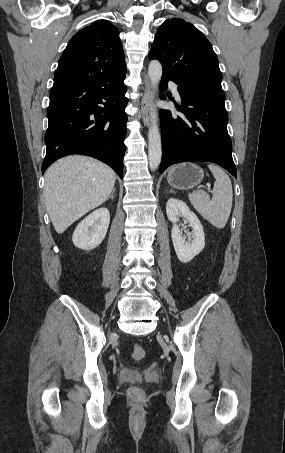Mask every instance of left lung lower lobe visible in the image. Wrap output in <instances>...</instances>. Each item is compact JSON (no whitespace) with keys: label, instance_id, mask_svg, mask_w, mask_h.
Returning <instances> with one entry per match:
<instances>
[{"label":"left lung lower lobe","instance_id":"0a47b994","mask_svg":"<svg viewBox=\"0 0 285 453\" xmlns=\"http://www.w3.org/2000/svg\"><path fill=\"white\" fill-rule=\"evenodd\" d=\"M169 80L178 84L182 102L178 110L185 117L173 116L168 110H160L162 131L160 173L175 163L205 161L222 166L236 177L232 143L227 131L228 114L225 102L190 90L166 74L161 78V91H166ZM160 97L165 98L162 93Z\"/></svg>","mask_w":285,"mask_h":453}]
</instances>
